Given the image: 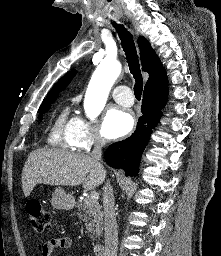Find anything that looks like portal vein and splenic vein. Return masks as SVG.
Wrapping results in <instances>:
<instances>
[{
	"mask_svg": "<svg viewBox=\"0 0 221 256\" xmlns=\"http://www.w3.org/2000/svg\"><path fill=\"white\" fill-rule=\"evenodd\" d=\"M90 198L94 201H98L99 199V194L96 192V191H92L91 192V195H90Z\"/></svg>",
	"mask_w": 221,
	"mask_h": 256,
	"instance_id": "1",
	"label": "portal vein and splenic vein"
}]
</instances>
